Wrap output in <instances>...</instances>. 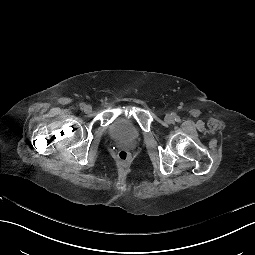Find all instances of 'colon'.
Masks as SVG:
<instances>
[{
    "instance_id": "5ec220e1",
    "label": "colon",
    "mask_w": 255,
    "mask_h": 255,
    "mask_svg": "<svg viewBox=\"0 0 255 255\" xmlns=\"http://www.w3.org/2000/svg\"><path fill=\"white\" fill-rule=\"evenodd\" d=\"M117 157L119 161L125 163L129 158V154L126 151H120Z\"/></svg>"
}]
</instances>
